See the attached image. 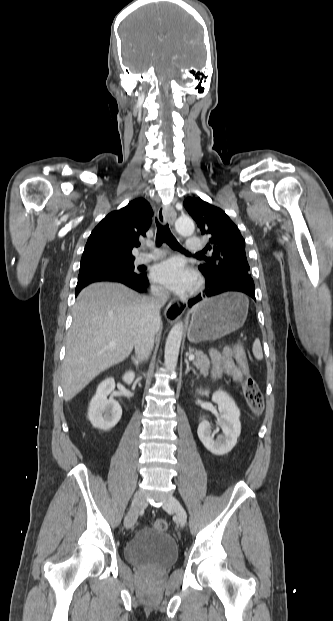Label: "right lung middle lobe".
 Masks as SVG:
<instances>
[{
    "label": "right lung middle lobe",
    "mask_w": 333,
    "mask_h": 621,
    "mask_svg": "<svg viewBox=\"0 0 333 621\" xmlns=\"http://www.w3.org/2000/svg\"><path fill=\"white\" fill-rule=\"evenodd\" d=\"M106 269L117 272H134V257H98L81 259L80 272Z\"/></svg>",
    "instance_id": "dd1d6c3e"
}]
</instances>
